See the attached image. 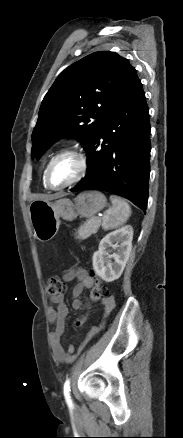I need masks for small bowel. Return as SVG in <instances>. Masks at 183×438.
I'll list each match as a JSON object with an SVG mask.
<instances>
[{"label": "small bowel", "instance_id": "small-bowel-1", "mask_svg": "<svg viewBox=\"0 0 183 438\" xmlns=\"http://www.w3.org/2000/svg\"><path fill=\"white\" fill-rule=\"evenodd\" d=\"M64 281L77 280L73 290V301L72 308L79 309L82 307V301L79 298L83 293L84 289L92 288L94 285V279L88 274V272L83 268H73L68 270L64 276ZM51 303L56 307H49L48 309V320L54 326V330L51 333V347L53 351L54 358L62 363H70L74 360L73 346H70L67 351L61 345V336L65 330V320L69 312V308L64 300V296L60 295L56 298L51 299ZM102 304L104 308V317H107L109 313L113 310L115 301L113 296H108L102 299ZM87 317H82L76 322L77 326H81ZM103 326L101 323L99 326L93 327L89 335L97 333Z\"/></svg>", "mask_w": 183, "mask_h": 438}]
</instances>
